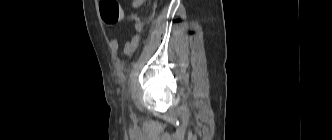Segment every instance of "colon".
Instances as JSON below:
<instances>
[{"mask_svg": "<svg viewBox=\"0 0 332 140\" xmlns=\"http://www.w3.org/2000/svg\"><path fill=\"white\" fill-rule=\"evenodd\" d=\"M100 12L103 21L114 25L121 21L123 12L117 0H100Z\"/></svg>", "mask_w": 332, "mask_h": 140, "instance_id": "obj_1", "label": "colon"}]
</instances>
